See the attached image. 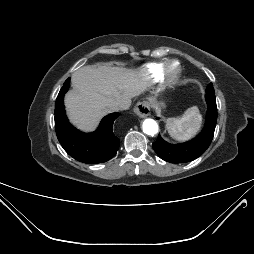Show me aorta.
Masks as SVG:
<instances>
[{"label": "aorta", "mask_w": 254, "mask_h": 254, "mask_svg": "<svg viewBox=\"0 0 254 254\" xmlns=\"http://www.w3.org/2000/svg\"><path fill=\"white\" fill-rule=\"evenodd\" d=\"M142 129L147 135L153 136L158 133L159 127L155 120L145 119L142 124Z\"/></svg>", "instance_id": "762f6f07"}]
</instances>
